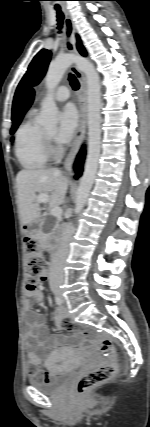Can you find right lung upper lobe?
<instances>
[{"label": "right lung upper lobe", "mask_w": 150, "mask_h": 427, "mask_svg": "<svg viewBox=\"0 0 150 427\" xmlns=\"http://www.w3.org/2000/svg\"><path fill=\"white\" fill-rule=\"evenodd\" d=\"M77 48L83 56H86V51L84 50V48L80 44L77 45ZM33 99H34V91L32 89H28V91L26 92V94L23 98V101H22V104H21V107L19 110V114H18V117H17L14 125L21 122L23 115L26 113V111L31 106Z\"/></svg>", "instance_id": "right-lung-upper-lobe-1"}]
</instances>
